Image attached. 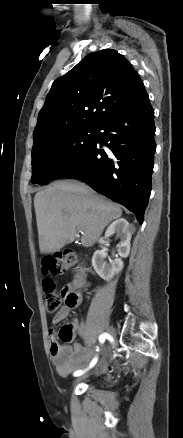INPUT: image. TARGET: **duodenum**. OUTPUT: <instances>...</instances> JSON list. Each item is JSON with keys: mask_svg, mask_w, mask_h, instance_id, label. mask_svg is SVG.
Masks as SVG:
<instances>
[{"mask_svg": "<svg viewBox=\"0 0 183 438\" xmlns=\"http://www.w3.org/2000/svg\"><path fill=\"white\" fill-rule=\"evenodd\" d=\"M85 271V268L84 267H81L80 269H79V273H80V275H79V277H78V280H81L82 278H81V274L83 273Z\"/></svg>", "mask_w": 183, "mask_h": 438, "instance_id": "410a0bca", "label": "duodenum"}]
</instances>
